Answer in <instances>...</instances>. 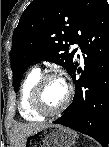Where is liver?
Returning a JSON list of instances; mask_svg holds the SVG:
<instances>
[{
	"label": "liver",
	"instance_id": "liver-1",
	"mask_svg": "<svg viewBox=\"0 0 109 147\" xmlns=\"http://www.w3.org/2000/svg\"><path fill=\"white\" fill-rule=\"evenodd\" d=\"M46 125L38 123L16 125L11 133L12 147H24L27 136L44 128Z\"/></svg>",
	"mask_w": 109,
	"mask_h": 147
}]
</instances>
